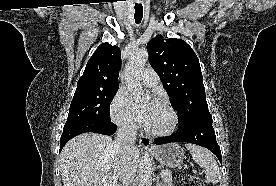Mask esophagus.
<instances>
[{
  "mask_svg": "<svg viewBox=\"0 0 276 186\" xmlns=\"http://www.w3.org/2000/svg\"><path fill=\"white\" fill-rule=\"evenodd\" d=\"M139 144L144 148H152V140L144 135L139 136Z\"/></svg>",
  "mask_w": 276,
  "mask_h": 186,
  "instance_id": "34e87169",
  "label": "esophagus"
}]
</instances>
